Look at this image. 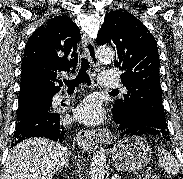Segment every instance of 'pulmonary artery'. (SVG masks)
I'll list each match as a JSON object with an SVG mask.
<instances>
[{"label":"pulmonary artery","mask_w":183,"mask_h":179,"mask_svg":"<svg viewBox=\"0 0 183 179\" xmlns=\"http://www.w3.org/2000/svg\"><path fill=\"white\" fill-rule=\"evenodd\" d=\"M99 84L102 87H106V88H117L120 86V82H119L117 76L111 71H103L100 74ZM64 98H65V95L57 94L54 97V102L56 104H59L60 102H62L64 100Z\"/></svg>","instance_id":"pulmonary-artery-1"}]
</instances>
